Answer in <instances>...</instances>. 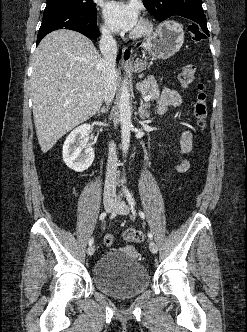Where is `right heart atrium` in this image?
Listing matches in <instances>:
<instances>
[{
	"label": "right heart atrium",
	"instance_id": "right-heart-atrium-1",
	"mask_svg": "<svg viewBox=\"0 0 247 332\" xmlns=\"http://www.w3.org/2000/svg\"><path fill=\"white\" fill-rule=\"evenodd\" d=\"M103 38L106 40H111L112 39V32L109 28H107L106 26H103L101 29Z\"/></svg>",
	"mask_w": 247,
	"mask_h": 332
}]
</instances>
